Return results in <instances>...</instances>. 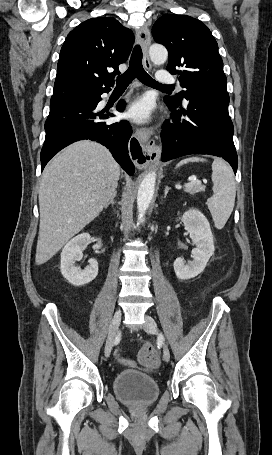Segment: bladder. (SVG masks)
Listing matches in <instances>:
<instances>
[{"instance_id": "1", "label": "bladder", "mask_w": 272, "mask_h": 455, "mask_svg": "<svg viewBox=\"0 0 272 455\" xmlns=\"http://www.w3.org/2000/svg\"><path fill=\"white\" fill-rule=\"evenodd\" d=\"M112 387L116 397L132 407L151 405L160 394L159 385L151 375L132 369L118 373Z\"/></svg>"}]
</instances>
